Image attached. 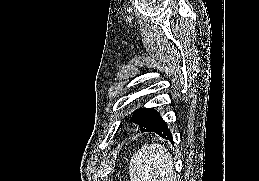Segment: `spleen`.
I'll return each instance as SVG.
<instances>
[{
	"label": "spleen",
	"instance_id": "1",
	"mask_svg": "<svg viewBox=\"0 0 259 181\" xmlns=\"http://www.w3.org/2000/svg\"><path fill=\"white\" fill-rule=\"evenodd\" d=\"M131 181H176L172 156L164 145H144L131 158Z\"/></svg>",
	"mask_w": 259,
	"mask_h": 181
}]
</instances>
